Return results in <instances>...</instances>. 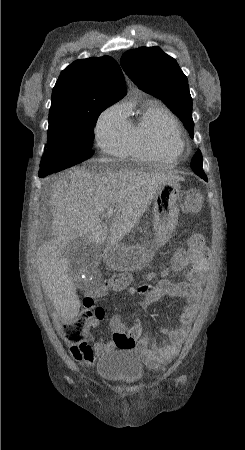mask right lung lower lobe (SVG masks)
Wrapping results in <instances>:
<instances>
[{"mask_svg":"<svg viewBox=\"0 0 245 450\" xmlns=\"http://www.w3.org/2000/svg\"><path fill=\"white\" fill-rule=\"evenodd\" d=\"M40 177H45V176H47L46 174H40L39 175Z\"/></svg>","mask_w":245,"mask_h":450,"instance_id":"98d812e1","label":"right lung lower lobe"}]
</instances>
